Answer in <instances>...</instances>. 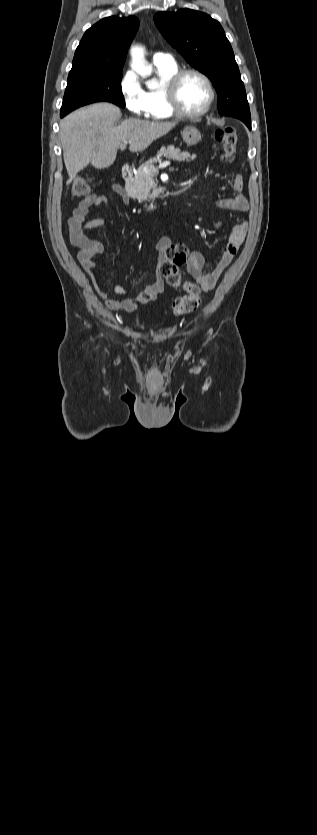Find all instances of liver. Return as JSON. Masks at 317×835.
<instances>
[{
	"instance_id": "obj_1",
	"label": "liver",
	"mask_w": 317,
	"mask_h": 835,
	"mask_svg": "<svg viewBox=\"0 0 317 835\" xmlns=\"http://www.w3.org/2000/svg\"><path fill=\"white\" fill-rule=\"evenodd\" d=\"M121 115L117 106L104 102L80 108L61 120L60 140L69 175L67 184L89 163L98 169L109 167L123 142H129L131 152H141L177 124L132 118L115 125Z\"/></svg>"
}]
</instances>
